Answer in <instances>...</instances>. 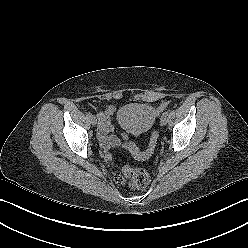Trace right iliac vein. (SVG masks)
I'll use <instances>...</instances> for the list:
<instances>
[{
  "label": "right iliac vein",
  "instance_id": "63e3f726",
  "mask_svg": "<svg viewBox=\"0 0 248 248\" xmlns=\"http://www.w3.org/2000/svg\"><path fill=\"white\" fill-rule=\"evenodd\" d=\"M90 122H91V124H92L93 126H95V125L97 124V119H96V117H95V116H91Z\"/></svg>",
  "mask_w": 248,
  "mask_h": 248
}]
</instances>
